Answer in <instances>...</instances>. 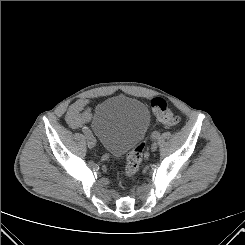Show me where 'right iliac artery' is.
I'll list each match as a JSON object with an SVG mask.
<instances>
[{"label":"right iliac artery","mask_w":245,"mask_h":245,"mask_svg":"<svg viewBox=\"0 0 245 245\" xmlns=\"http://www.w3.org/2000/svg\"><path fill=\"white\" fill-rule=\"evenodd\" d=\"M82 131H83V133H84L86 136H90V135H91L90 130H89L88 128H86V127H84Z\"/></svg>","instance_id":"right-iliac-artery-1"}]
</instances>
